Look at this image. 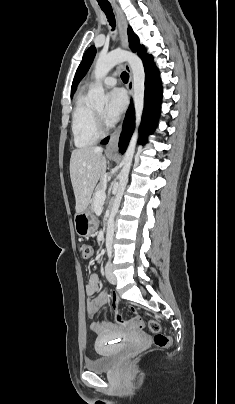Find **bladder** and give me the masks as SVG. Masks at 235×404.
<instances>
[{"label": "bladder", "instance_id": "obj_1", "mask_svg": "<svg viewBox=\"0 0 235 404\" xmlns=\"http://www.w3.org/2000/svg\"><path fill=\"white\" fill-rule=\"evenodd\" d=\"M96 348L99 352L104 351V348L101 346H96ZM122 352L123 350H117L108 354L99 355L96 359L85 362V367L96 373L110 371L118 361Z\"/></svg>", "mask_w": 235, "mask_h": 404}]
</instances>
